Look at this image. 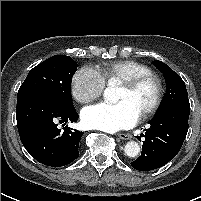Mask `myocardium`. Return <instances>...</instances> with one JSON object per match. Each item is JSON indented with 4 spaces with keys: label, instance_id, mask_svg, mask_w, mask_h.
Listing matches in <instances>:
<instances>
[{
    "label": "myocardium",
    "instance_id": "f54148a6",
    "mask_svg": "<svg viewBox=\"0 0 201 201\" xmlns=\"http://www.w3.org/2000/svg\"><path fill=\"white\" fill-rule=\"evenodd\" d=\"M146 81H152L154 83L156 88V95L152 104L140 114L139 118L141 119H146L152 116L160 108L163 101V96H164L163 79L159 75L149 72V73L134 76L132 78H129L121 82L122 86L133 90L139 87L141 84H143Z\"/></svg>",
    "mask_w": 201,
    "mask_h": 201
}]
</instances>
